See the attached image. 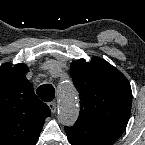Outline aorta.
<instances>
[{
    "label": "aorta",
    "mask_w": 145,
    "mask_h": 145,
    "mask_svg": "<svg viewBox=\"0 0 145 145\" xmlns=\"http://www.w3.org/2000/svg\"><path fill=\"white\" fill-rule=\"evenodd\" d=\"M79 115L76 96L72 86L62 85L58 95V120L66 126L75 123Z\"/></svg>",
    "instance_id": "762f6f07"
}]
</instances>
